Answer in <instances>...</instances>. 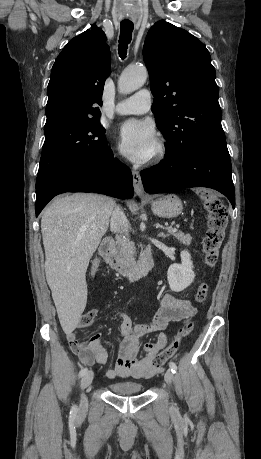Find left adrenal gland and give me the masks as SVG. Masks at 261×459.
Listing matches in <instances>:
<instances>
[{
	"label": "left adrenal gland",
	"instance_id": "a2214340",
	"mask_svg": "<svg viewBox=\"0 0 261 459\" xmlns=\"http://www.w3.org/2000/svg\"><path fill=\"white\" fill-rule=\"evenodd\" d=\"M168 236H169V234H164L163 232H160V233L158 234V237H162V238H166V237H168Z\"/></svg>",
	"mask_w": 261,
	"mask_h": 459
}]
</instances>
